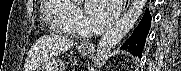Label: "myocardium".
<instances>
[{
  "mask_svg": "<svg viewBox=\"0 0 181 71\" xmlns=\"http://www.w3.org/2000/svg\"><path fill=\"white\" fill-rule=\"evenodd\" d=\"M87 7H88V6H87ZM87 28H88L89 30L93 29L91 26H88Z\"/></svg>",
  "mask_w": 181,
  "mask_h": 71,
  "instance_id": "f54148a6",
  "label": "myocardium"
}]
</instances>
